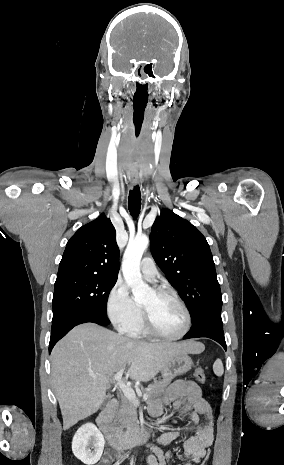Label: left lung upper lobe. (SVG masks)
<instances>
[{
	"label": "left lung upper lobe",
	"instance_id": "obj_1",
	"mask_svg": "<svg viewBox=\"0 0 284 465\" xmlns=\"http://www.w3.org/2000/svg\"><path fill=\"white\" fill-rule=\"evenodd\" d=\"M152 255L187 303L192 322L221 312L222 295L208 242L189 221L162 210L151 228Z\"/></svg>",
	"mask_w": 284,
	"mask_h": 465
}]
</instances>
